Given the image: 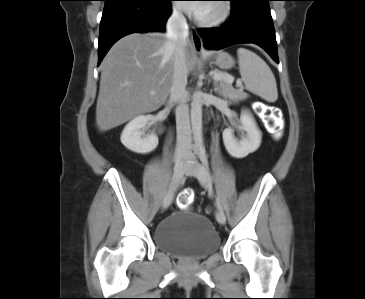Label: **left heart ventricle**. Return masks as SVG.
Instances as JSON below:
<instances>
[{
    "label": "left heart ventricle",
    "instance_id": "b2bd125f",
    "mask_svg": "<svg viewBox=\"0 0 365 299\" xmlns=\"http://www.w3.org/2000/svg\"><path fill=\"white\" fill-rule=\"evenodd\" d=\"M218 12V5L216 3L207 4L205 10L199 16L202 18H210Z\"/></svg>",
    "mask_w": 365,
    "mask_h": 299
}]
</instances>
